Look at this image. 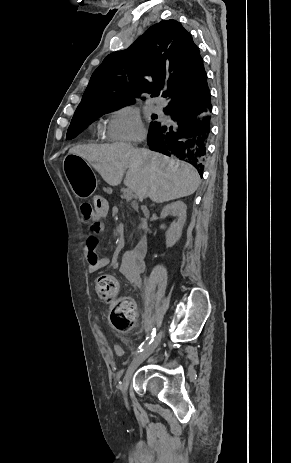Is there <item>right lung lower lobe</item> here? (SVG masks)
Wrapping results in <instances>:
<instances>
[{
	"instance_id": "obj_1",
	"label": "right lung lower lobe",
	"mask_w": 291,
	"mask_h": 463,
	"mask_svg": "<svg viewBox=\"0 0 291 463\" xmlns=\"http://www.w3.org/2000/svg\"><path fill=\"white\" fill-rule=\"evenodd\" d=\"M203 96L191 105L175 104L165 109L172 124L158 122L150 127L148 145L151 150L175 156L193 165L200 176L204 171V156L211 129V94L207 75L202 81Z\"/></svg>"
}]
</instances>
